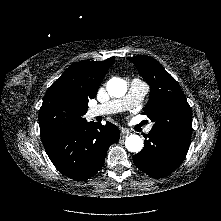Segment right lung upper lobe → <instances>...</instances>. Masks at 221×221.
I'll use <instances>...</instances> for the list:
<instances>
[{"label": "right lung upper lobe", "mask_w": 221, "mask_h": 221, "mask_svg": "<svg viewBox=\"0 0 221 221\" xmlns=\"http://www.w3.org/2000/svg\"><path fill=\"white\" fill-rule=\"evenodd\" d=\"M81 61L71 64L47 90L39 110L40 135L45 148L63 140L86 122L83 117L113 63Z\"/></svg>", "instance_id": "right-lung-upper-lobe-1"}]
</instances>
